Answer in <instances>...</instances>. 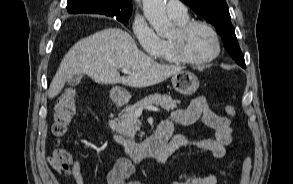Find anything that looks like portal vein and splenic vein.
<instances>
[{
	"mask_svg": "<svg viewBox=\"0 0 293 184\" xmlns=\"http://www.w3.org/2000/svg\"><path fill=\"white\" fill-rule=\"evenodd\" d=\"M122 72L124 73V74H129L130 73V71L128 70V69H122ZM143 109H146V110H148V111H154V112H158V111H160V109L159 108H157V107H153V106H146V107H144V108H138L137 110H136V113L137 114H141L142 113V111H143Z\"/></svg>",
	"mask_w": 293,
	"mask_h": 184,
	"instance_id": "portal-vein-and-splenic-vein-1",
	"label": "portal vein and splenic vein"
}]
</instances>
